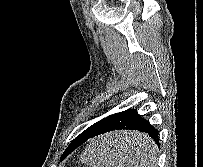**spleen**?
Masks as SVG:
<instances>
[{"label": "spleen", "mask_w": 203, "mask_h": 167, "mask_svg": "<svg viewBox=\"0 0 203 167\" xmlns=\"http://www.w3.org/2000/svg\"><path fill=\"white\" fill-rule=\"evenodd\" d=\"M112 142H115V138H109L108 135L92 140L81 157L82 163L89 167H132L133 165L129 164L127 160L120 158L117 150L109 148V144ZM133 142L146 147L143 153H137V158L145 163L139 167H155L157 147L153 140L144 134H138L134 137Z\"/></svg>", "instance_id": "3e777b00"}]
</instances>
